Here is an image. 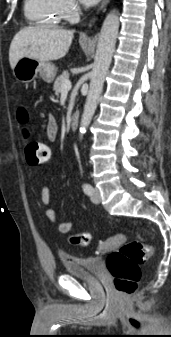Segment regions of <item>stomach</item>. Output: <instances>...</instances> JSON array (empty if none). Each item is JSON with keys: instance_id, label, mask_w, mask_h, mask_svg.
I'll return each instance as SVG.
<instances>
[{"instance_id": "stomach-1", "label": "stomach", "mask_w": 171, "mask_h": 337, "mask_svg": "<svg viewBox=\"0 0 171 337\" xmlns=\"http://www.w3.org/2000/svg\"><path fill=\"white\" fill-rule=\"evenodd\" d=\"M57 73L54 64L29 57L19 59L13 69V75L18 81L28 83L38 75L47 83H51Z\"/></svg>"}]
</instances>
